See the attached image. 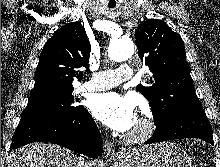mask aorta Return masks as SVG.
I'll list each match as a JSON object with an SVG mask.
<instances>
[{"label":"aorta","mask_w":220,"mask_h":167,"mask_svg":"<svg viewBox=\"0 0 220 167\" xmlns=\"http://www.w3.org/2000/svg\"><path fill=\"white\" fill-rule=\"evenodd\" d=\"M134 53V44L131 40H113L108 48V56L116 62L125 61Z\"/></svg>","instance_id":"aorta-1"}]
</instances>
